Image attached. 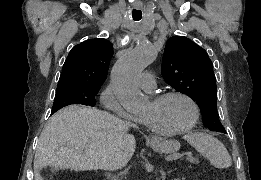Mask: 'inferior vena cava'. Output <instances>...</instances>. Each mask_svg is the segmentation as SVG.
Returning <instances> with one entry per match:
<instances>
[{
  "label": "inferior vena cava",
  "instance_id": "1",
  "mask_svg": "<svg viewBox=\"0 0 261 180\" xmlns=\"http://www.w3.org/2000/svg\"><path fill=\"white\" fill-rule=\"evenodd\" d=\"M130 158H122V160H118V166L119 168H124V166H127Z\"/></svg>",
  "mask_w": 261,
  "mask_h": 180
}]
</instances>
